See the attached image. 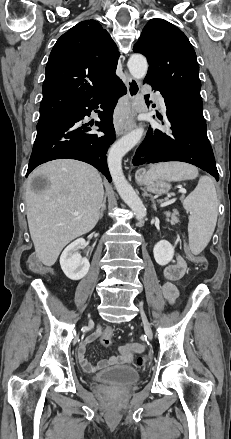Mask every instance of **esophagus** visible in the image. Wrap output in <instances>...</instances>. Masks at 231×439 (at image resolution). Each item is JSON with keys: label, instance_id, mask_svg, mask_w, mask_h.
Wrapping results in <instances>:
<instances>
[{"label": "esophagus", "instance_id": "34e87169", "mask_svg": "<svg viewBox=\"0 0 231 439\" xmlns=\"http://www.w3.org/2000/svg\"><path fill=\"white\" fill-rule=\"evenodd\" d=\"M126 76H127L128 99L133 104L136 101L140 100V85L135 78L131 77L128 74H126ZM136 114L137 112L135 108L133 106L129 107L125 115V118L121 121H117L114 124L117 136H121L125 134L126 132L132 130L136 126V121H135Z\"/></svg>", "mask_w": 231, "mask_h": 439}]
</instances>
